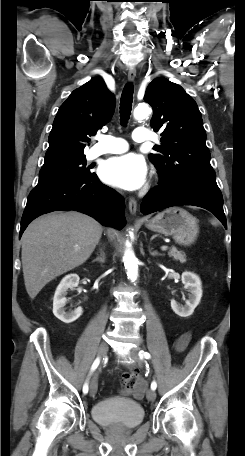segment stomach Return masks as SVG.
I'll list each match as a JSON object with an SVG mask.
<instances>
[{"label":"stomach","mask_w":245,"mask_h":456,"mask_svg":"<svg viewBox=\"0 0 245 456\" xmlns=\"http://www.w3.org/2000/svg\"><path fill=\"white\" fill-rule=\"evenodd\" d=\"M147 229L172 236L181 245L192 244L198 235L199 227L195 218L180 207L168 208L145 222Z\"/></svg>","instance_id":"0dacf381"}]
</instances>
